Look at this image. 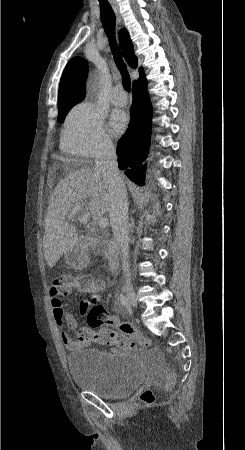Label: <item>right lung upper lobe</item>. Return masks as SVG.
I'll use <instances>...</instances> for the list:
<instances>
[{
	"instance_id": "cb5924a9",
	"label": "right lung upper lobe",
	"mask_w": 245,
	"mask_h": 450,
	"mask_svg": "<svg viewBox=\"0 0 245 450\" xmlns=\"http://www.w3.org/2000/svg\"><path fill=\"white\" fill-rule=\"evenodd\" d=\"M119 43L123 55L132 68L137 67V57L134 54L132 41L125 28L119 33ZM140 76L144 74L139 69ZM88 76L87 62L81 57L72 58L66 65L58 91V107L68 103H79L85 98V83Z\"/></svg>"
}]
</instances>
